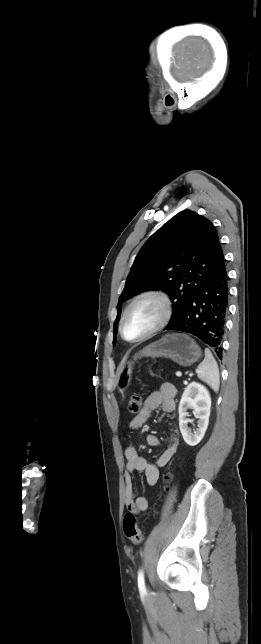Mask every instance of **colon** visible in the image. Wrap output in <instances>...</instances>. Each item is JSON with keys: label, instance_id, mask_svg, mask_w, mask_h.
Returning a JSON list of instances; mask_svg holds the SVG:
<instances>
[{"label": "colon", "instance_id": "obj_1", "mask_svg": "<svg viewBox=\"0 0 261 644\" xmlns=\"http://www.w3.org/2000/svg\"><path fill=\"white\" fill-rule=\"evenodd\" d=\"M143 407V397L140 394L133 395L128 404L129 412L138 414ZM165 482L171 480V474L167 473L164 477ZM123 531L125 536L130 539L134 544H139L142 541V532L139 527L138 519L131 512L127 513L123 518Z\"/></svg>", "mask_w": 261, "mask_h": 644}]
</instances>
